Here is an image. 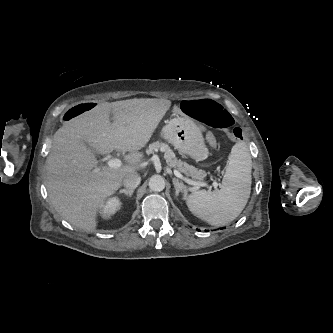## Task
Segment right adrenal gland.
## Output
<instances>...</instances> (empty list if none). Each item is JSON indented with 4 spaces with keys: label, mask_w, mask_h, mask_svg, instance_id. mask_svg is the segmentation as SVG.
<instances>
[{
    "label": "right adrenal gland",
    "mask_w": 333,
    "mask_h": 333,
    "mask_svg": "<svg viewBox=\"0 0 333 333\" xmlns=\"http://www.w3.org/2000/svg\"><path fill=\"white\" fill-rule=\"evenodd\" d=\"M134 190H128V189H121L119 193H124L125 195L132 197Z\"/></svg>",
    "instance_id": "2a0ac1e0"
}]
</instances>
